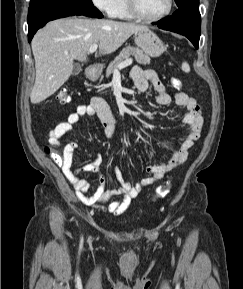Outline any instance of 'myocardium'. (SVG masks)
<instances>
[{
	"label": "myocardium",
	"mask_w": 243,
	"mask_h": 289,
	"mask_svg": "<svg viewBox=\"0 0 243 289\" xmlns=\"http://www.w3.org/2000/svg\"><path fill=\"white\" fill-rule=\"evenodd\" d=\"M127 9L129 13L136 19L143 20V21H157L167 17L173 10L174 7V0H168V7L165 12L157 15V16H147L143 14L138 6L137 0H126Z\"/></svg>",
	"instance_id": "obj_1"
}]
</instances>
